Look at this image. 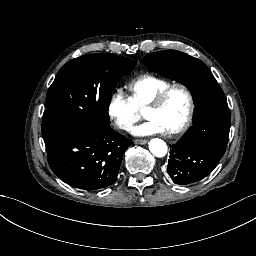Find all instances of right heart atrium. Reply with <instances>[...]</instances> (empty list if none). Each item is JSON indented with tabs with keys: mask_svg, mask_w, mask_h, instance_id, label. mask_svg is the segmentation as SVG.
<instances>
[{
	"mask_svg": "<svg viewBox=\"0 0 256 256\" xmlns=\"http://www.w3.org/2000/svg\"><path fill=\"white\" fill-rule=\"evenodd\" d=\"M132 117L134 121H139L142 118V114L140 111H134Z\"/></svg>",
	"mask_w": 256,
	"mask_h": 256,
	"instance_id": "1",
	"label": "right heart atrium"
}]
</instances>
